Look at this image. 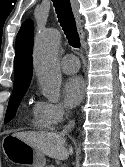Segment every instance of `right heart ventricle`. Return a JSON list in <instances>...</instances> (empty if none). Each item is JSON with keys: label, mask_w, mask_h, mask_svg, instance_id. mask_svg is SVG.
I'll list each match as a JSON object with an SVG mask.
<instances>
[{"label": "right heart ventricle", "mask_w": 125, "mask_h": 167, "mask_svg": "<svg viewBox=\"0 0 125 167\" xmlns=\"http://www.w3.org/2000/svg\"><path fill=\"white\" fill-rule=\"evenodd\" d=\"M30 123L31 125L34 127V128H37V129H46L48 127H46L42 121L38 118V116L36 115L35 113V110H34V116L33 118L30 119Z\"/></svg>", "instance_id": "right-heart-ventricle-1"}]
</instances>
